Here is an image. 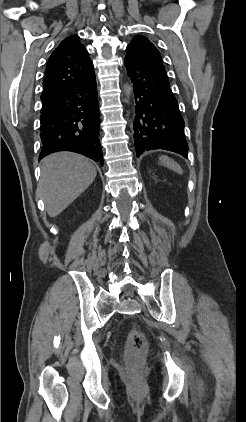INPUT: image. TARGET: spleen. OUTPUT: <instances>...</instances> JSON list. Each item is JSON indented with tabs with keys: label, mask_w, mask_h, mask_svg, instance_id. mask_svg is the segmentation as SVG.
<instances>
[{
	"label": "spleen",
	"mask_w": 246,
	"mask_h": 422,
	"mask_svg": "<svg viewBox=\"0 0 246 422\" xmlns=\"http://www.w3.org/2000/svg\"><path fill=\"white\" fill-rule=\"evenodd\" d=\"M159 161H160L161 164H163L167 168H169V169H171V170H173V171H175L179 174L183 173V170L180 167V165L177 162H175L173 159L169 158L168 156H163V155L160 156Z\"/></svg>",
	"instance_id": "spleen-1"
}]
</instances>
